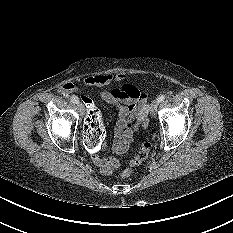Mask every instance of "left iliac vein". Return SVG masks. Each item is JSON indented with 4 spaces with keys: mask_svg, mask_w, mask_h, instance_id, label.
<instances>
[{
    "mask_svg": "<svg viewBox=\"0 0 233 233\" xmlns=\"http://www.w3.org/2000/svg\"><path fill=\"white\" fill-rule=\"evenodd\" d=\"M158 105H159L158 100H154V101L151 103V106H150V113L152 114V116H155V115H156Z\"/></svg>",
    "mask_w": 233,
    "mask_h": 233,
    "instance_id": "1",
    "label": "left iliac vein"
}]
</instances>
